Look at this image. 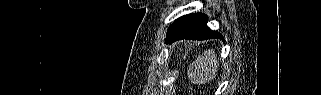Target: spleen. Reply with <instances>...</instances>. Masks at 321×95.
Returning <instances> with one entry per match:
<instances>
[{
	"label": "spleen",
	"mask_w": 321,
	"mask_h": 95,
	"mask_svg": "<svg viewBox=\"0 0 321 95\" xmlns=\"http://www.w3.org/2000/svg\"><path fill=\"white\" fill-rule=\"evenodd\" d=\"M219 63L214 50L204 52L190 67L188 75L195 84H205L216 78Z\"/></svg>",
	"instance_id": "spleen-1"
}]
</instances>
